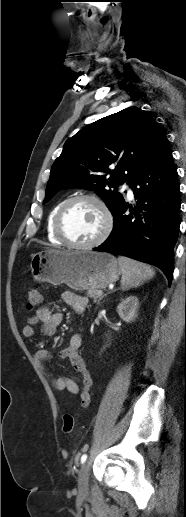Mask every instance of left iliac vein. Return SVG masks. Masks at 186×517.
<instances>
[{
  "mask_svg": "<svg viewBox=\"0 0 186 517\" xmlns=\"http://www.w3.org/2000/svg\"><path fill=\"white\" fill-rule=\"evenodd\" d=\"M88 471L89 462H85L78 474V490L81 495H84L88 491Z\"/></svg>",
  "mask_w": 186,
  "mask_h": 517,
  "instance_id": "1",
  "label": "left iliac vein"
}]
</instances>
